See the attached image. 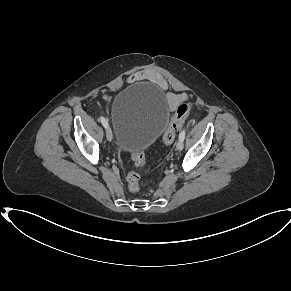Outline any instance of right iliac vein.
<instances>
[{"instance_id": "1", "label": "right iliac vein", "mask_w": 291, "mask_h": 291, "mask_svg": "<svg viewBox=\"0 0 291 291\" xmlns=\"http://www.w3.org/2000/svg\"><path fill=\"white\" fill-rule=\"evenodd\" d=\"M106 137L108 141H112L113 139L112 131L108 126L106 127Z\"/></svg>"}]
</instances>
